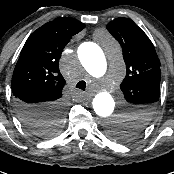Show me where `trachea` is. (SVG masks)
<instances>
[{
	"mask_svg": "<svg viewBox=\"0 0 174 174\" xmlns=\"http://www.w3.org/2000/svg\"><path fill=\"white\" fill-rule=\"evenodd\" d=\"M76 88H79L81 90H85L86 88V82L85 81H79L76 85Z\"/></svg>",
	"mask_w": 174,
	"mask_h": 174,
	"instance_id": "1",
	"label": "trachea"
}]
</instances>
